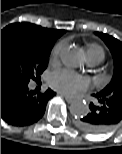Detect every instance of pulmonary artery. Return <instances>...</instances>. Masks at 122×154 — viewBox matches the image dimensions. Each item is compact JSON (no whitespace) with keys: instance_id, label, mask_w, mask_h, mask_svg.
I'll return each mask as SVG.
<instances>
[{"instance_id":"pulmonary-artery-1","label":"pulmonary artery","mask_w":122,"mask_h":154,"mask_svg":"<svg viewBox=\"0 0 122 154\" xmlns=\"http://www.w3.org/2000/svg\"><path fill=\"white\" fill-rule=\"evenodd\" d=\"M100 62H101V61L98 60V59H94V58H89V59H88V65H89L90 67H95V66H97Z\"/></svg>"}]
</instances>
